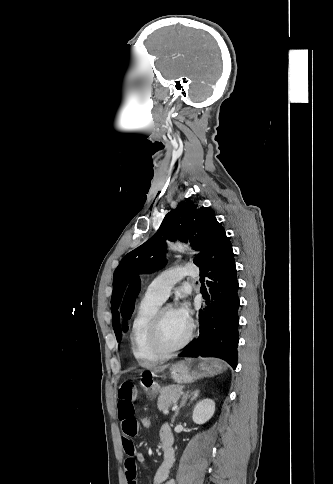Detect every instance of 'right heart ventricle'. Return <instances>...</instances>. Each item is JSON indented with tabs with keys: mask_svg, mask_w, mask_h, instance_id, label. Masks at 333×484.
I'll return each mask as SVG.
<instances>
[{
	"mask_svg": "<svg viewBox=\"0 0 333 484\" xmlns=\"http://www.w3.org/2000/svg\"><path fill=\"white\" fill-rule=\"evenodd\" d=\"M162 301L145 295L140 301L130 329V344L134 357L142 366L158 362L162 357L153 352L149 344V329Z\"/></svg>",
	"mask_w": 333,
	"mask_h": 484,
	"instance_id": "1",
	"label": "right heart ventricle"
}]
</instances>
